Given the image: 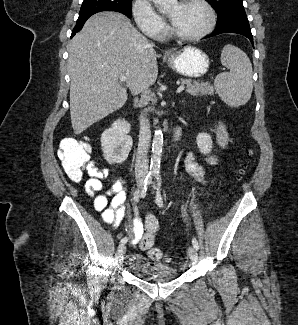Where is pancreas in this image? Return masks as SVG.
<instances>
[{"instance_id":"cf45deb5","label":"pancreas","mask_w":298,"mask_h":325,"mask_svg":"<svg viewBox=\"0 0 298 325\" xmlns=\"http://www.w3.org/2000/svg\"><path fill=\"white\" fill-rule=\"evenodd\" d=\"M181 84H186V92L192 96H211L214 94V86L211 82L203 80H191V78H178ZM153 110L154 106H149Z\"/></svg>"}]
</instances>
